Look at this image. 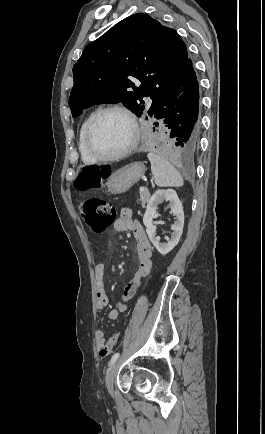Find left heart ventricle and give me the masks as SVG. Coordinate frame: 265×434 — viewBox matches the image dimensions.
I'll return each mask as SVG.
<instances>
[{"mask_svg":"<svg viewBox=\"0 0 265 434\" xmlns=\"http://www.w3.org/2000/svg\"><path fill=\"white\" fill-rule=\"evenodd\" d=\"M132 136L133 127L129 118L122 112L112 111L99 119L94 141L101 152L113 155L125 150Z\"/></svg>","mask_w":265,"mask_h":434,"instance_id":"obj_1","label":"left heart ventricle"}]
</instances>
